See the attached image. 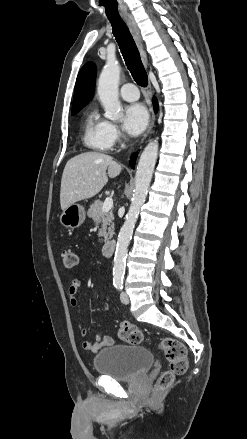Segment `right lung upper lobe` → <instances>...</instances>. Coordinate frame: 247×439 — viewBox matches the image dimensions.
<instances>
[{
  "label": "right lung upper lobe",
  "mask_w": 247,
  "mask_h": 439,
  "mask_svg": "<svg viewBox=\"0 0 247 439\" xmlns=\"http://www.w3.org/2000/svg\"><path fill=\"white\" fill-rule=\"evenodd\" d=\"M95 76L96 67L91 62L80 70L75 84L72 111L82 109L93 98Z\"/></svg>",
  "instance_id": "obj_1"
}]
</instances>
